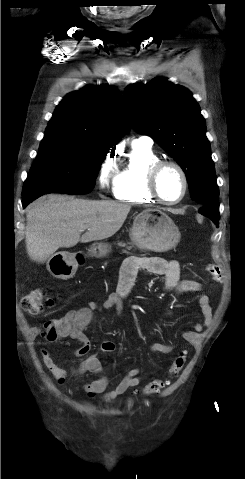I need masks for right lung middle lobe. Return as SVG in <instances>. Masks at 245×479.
<instances>
[{
    "instance_id": "1",
    "label": "right lung middle lobe",
    "mask_w": 245,
    "mask_h": 479,
    "mask_svg": "<svg viewBox=\"0 0 245 479\" xmlns=\"http://www.w3.org/2000/svg\"><path fill=\"white\" fill-rule=\"evenodd\" d=\"M108 148L60 134H46L24 183L22 197L32 194H86L93 190Z\"/></svg>"
}]
</instances>
